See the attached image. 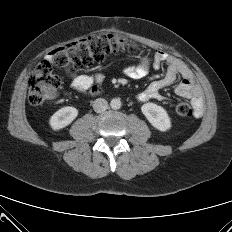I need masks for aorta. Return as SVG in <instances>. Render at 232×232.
I'll list each match as a JSON object with an SVG mask.
<instances>
[{"mask_svg":"<svg viewBox=\"0 0 232 232\" xmlns=\"http://www.w3.org/2000/svg\"><path fill=\"white\" fill-rule=\"evenodd\" d=\"M110 106L112 109H120L121 108V101L119 98H113L110 102Z\"/></svg>","mask_w":232,"mask_h":232,"instance_id":"762f6f07","label":"aorta"}]
</instances>
